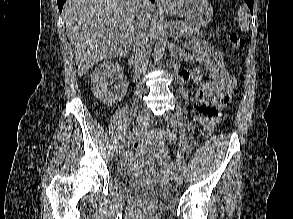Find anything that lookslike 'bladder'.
Returning a JSON list of instances; mask_svg holds the SVG:
<instances>
[{
    "instance_id": "bladder-1",
    "label": "bladder",
    "mask_w": 293,
    "mask_h": 219,
    "mask_svg": "<svg viewBox=\"0 0 293 219\" xmlns=\"http://www.w3.org/2000/svg\"><path fill=\"white\" fill-rule=\"evenodd\" d=\"M113 184L120 192L157 209L172 208L179 200L178 188L170 181L149 180L129 169L118 170Z\"/></svg>"
}]
</instances>
